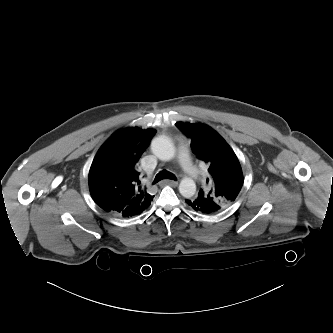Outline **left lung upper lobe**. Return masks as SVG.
Returning a JSON list of instances; mask_svg holds the SVG:
<instances>
[{"label": "left lung upper lobe", "instance_id": "obj_1", "mask_svg": "<svg viewBox=\"0 0 333 333\" xmlns=\"http://www.w3.org/2000/svg\"><path fill=\"white\" fill-rule=\"evenodd\" d=\"M176 127L191 139L196 156L208 166L209 188L198 196L215 201L220 210L231 206L243 185L239 160L227 142L211 127L200 123L177 122Z\"/></svg>", "mask_w": 333, "mask_h": 333}]
</instances>
